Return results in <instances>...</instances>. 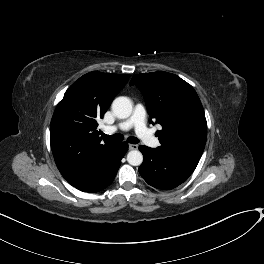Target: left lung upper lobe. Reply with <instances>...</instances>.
I'll use <instances>...</instances> for the list:
<instances>
[{
	"mask_svg": "<svg viewBox=\"0 0 264 264\" xmlns=\"http://www.w3.org/2000/svg\"><path fill=\"white\" fill-rule=\"evenodd\" d=\"M130 85L142 92L150 123L154 119L162 126L156 133L161 143L156 149L198 163L206 143L207 122L193 87L168 72L134 75Z\"/></svg>",
	"mask_w": 264,
	"mask_h": 264,
	"instance_id": "1",
	"label": "left lung upper lobe"
}]
</instances>
